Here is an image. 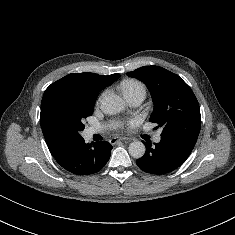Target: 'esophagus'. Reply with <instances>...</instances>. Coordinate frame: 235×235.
<instances>
[{"label": "esophagus", "mask_w": 235, "mask_h": 235, "mask_svg": "<svg viewBox=\"0 0 235 235\" xmlns=\"http://www.w3.org/2000/svg\"><path fill=\"white\" fill-rule=\"evenodd\" d=\"M121 141H126V138H122V137H113L109 140V142L114 145V144H117Z\"/></svg>", "instance_id": "esophagus-1"}]
</instances>
